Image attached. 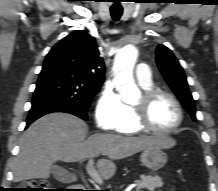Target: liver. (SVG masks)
Segmentation results:
<instances>
[{"mask_svg": "<svg viewBox=\"0 0 218 191\" xmlns=\"http://www.w3.org/2000/svg\"><path fill=\"white\" fill-rule=\"evenodd\" d=\"M87 124L66 113L48 114L34 122L20 140V151L14 164V181L48 178L52 164L57 161L76 162L100 154L97 168L103 179L111 178L119 160L151 147L168 149L175 140L164 135L121 136L94 134L86 139Z\"/></svg>", "mask_w": 218, "mask_h": 191, "instance_id": "6515ba94", "label": "liver"}]
</instances>
